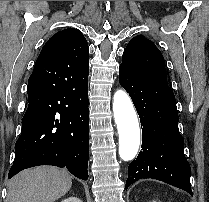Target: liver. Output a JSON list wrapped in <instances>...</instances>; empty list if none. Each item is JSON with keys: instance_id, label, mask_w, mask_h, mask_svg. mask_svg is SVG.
Listing matches in <instances>:
<instances>
[{"instance_id": "liver-1", "label": "liver", "mask_w": 209, "mask_h": 202, "mask_svg": "<svg viewBox=\"0 0 209 202\" xmlns=\"http://www.w3.org/2000/svg\"><path fill=\"white\" fill-rule=\"evenodd\" d=\"M72 186L70 174L56 167H37L20 172L8 184L5 202H54Z\"/></svg>"}]
</instances>
